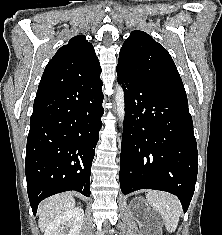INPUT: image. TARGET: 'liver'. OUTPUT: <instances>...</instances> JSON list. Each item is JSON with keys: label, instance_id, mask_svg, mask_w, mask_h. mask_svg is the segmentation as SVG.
I'll return each instance as SVG.
<instances>
[{"label": "liver", "instance_id": "1", "mask_svg": "<svg viewBox=\"0 0 222 235\" xmlns=\"http://www.w3.org/2000/svg\"><path fill=\"white\" fill-rule=\"evenodd\" d=\"M75 207V200L70 193H63L44 200L39 207V228L45 231L47 226L59 215Z\"/></svg>", "mask_w": 222, "mask_h": 235}]
</instances>
